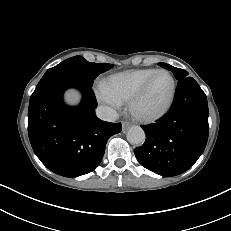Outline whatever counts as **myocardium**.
I'll use <instances>...</instances> for the list:
<instances>
[{
	"label": "myocardium",
	"mask_w": 231,
	"mask_h": 231,
	"mask_svg": "<svg viewBox=\"0 0 231 231\" xmlns=\"http://www.w3.org/2000/svg\"><path fill=\"white\" fill-rule=\"evenodd\" d=\"M159 74H166L171 81V90L170 94L168 96V99L164 103V105L152 112V113H141L138 111L137 106L140 103V101L145 97L147 94L148 90L150 89L155 77ZM176 90H177V85H176V80L174 76L166 71V70H156L147 80L146 82L128 99V111L130 115L136 119L137 121H140L142 123H152L155 122L162 117H164L169 110L171 109L175 96H176Z\"/></svg>",
	"instance_id": "myocardium-1"
}]
</instances>
